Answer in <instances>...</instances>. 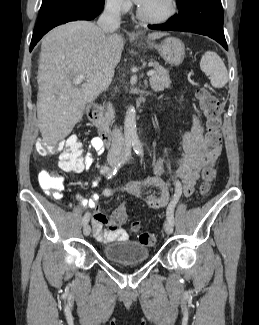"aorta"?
<instances>
[{"instance_id":"obj_1","label":"aorta","mask_w":259,"mask_h":325,"mask_svg":"<svg viewBox=\"0 0 259 325\" xmlns=\"http://www.w3.org/2000/svg\"><path fill=\"white\" fill-rule=\"evenodd\" d=\"M124 134L125 138L132 142L134 147H140V141L136 128V110L130 106L126 112L124 120Z\"/></svg>"}]
</instances>
